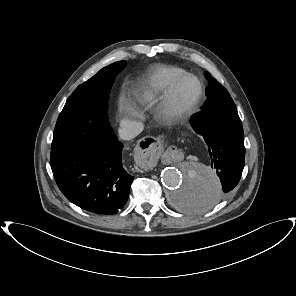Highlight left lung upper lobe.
<instances>
[{
  "label": "left lung upper lobe",
  "instance_id": "5c2ea615",
  "mask_svg": "<svg viewBox=\"0 0 296 296\" xmlns=\"http://www.w3.org/2000/svg\"><path fill=\"white\" fill-rule=\"evenodd\" d=\"M206 78L210 79L209 73H206ZM221 94H229L228 91L216 80L210 79L209 85L206 88V101L210 98L216 97Z\"/></svg>",
  "mask_w": 296,
  "mask_h": 296
}]
</instances>
